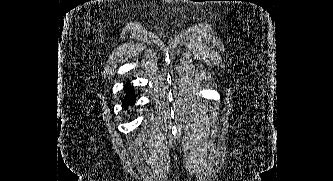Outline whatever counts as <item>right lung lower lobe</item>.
Segmentation results:
<instances>
[{
    "label": "right lung lower lobe",
    "instance_id": "98d812e1",
    "mask_svg": "<svg viewBox=\"0 0 333 181\" xmlns=\"http://www.w3.org/2000/svg\"><path fill=\"white\" fill-rule=\"evenodd\" d=\"M124 88H125L126 96L122 100V104H123L124 108L127 109L129 105H133L135 103V94L132 91H130L131 86L129 83H127Z\"/></svg>",
    "mask_w": 333,
    "mask_h": 181
}]
</instances>
